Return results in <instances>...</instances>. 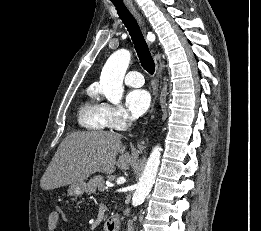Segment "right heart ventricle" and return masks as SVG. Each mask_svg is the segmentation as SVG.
I'll list each match as a JSON object with an SVG mask.
<instances>
[{
    "label": "right heart ventricle",
    "mask_w": 261,
    "mask_h": 231,
    "mask_svg": "<svg viewBox=\"0 0 261 231\" xmlns=\"http://www.w3.org/2000/svg\"><path fill=\"white\" fill-rule=\"evenodd\" d=\"M90 99L78 111V123L81 127L103 131L107 128L103 106L96 100V90L91 87L88 91Z\"/></svg>",
    "instance_id": "e07e8e85"
}]
</instances>
